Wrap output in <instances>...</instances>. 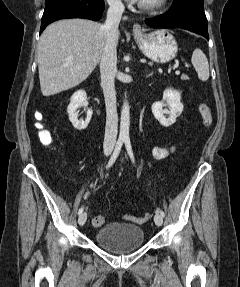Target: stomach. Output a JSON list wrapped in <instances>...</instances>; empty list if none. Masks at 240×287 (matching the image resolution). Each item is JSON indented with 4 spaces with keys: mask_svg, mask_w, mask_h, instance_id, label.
<instances>
[{
    "mask_svg": "<svg viewBox=\"0 0 240 287\" xmlns=\"http://www.w3.org/2000/svg\"><path fill=\"white\" fill-rule=\"evenodd\" d=\"M134 39L142 53L155 62L166 63L177 55V42L167 29L134 33Z\"/></svg>",
    "mask_w": 240,
    "mask_h": 287,
    "instance_id": "0dacf381",
    "label": "stomach"
}]
</instances>
